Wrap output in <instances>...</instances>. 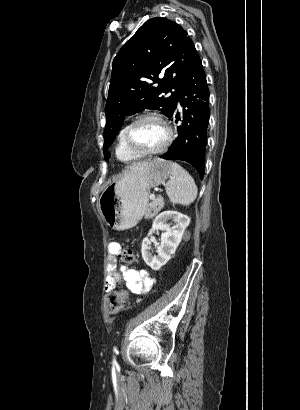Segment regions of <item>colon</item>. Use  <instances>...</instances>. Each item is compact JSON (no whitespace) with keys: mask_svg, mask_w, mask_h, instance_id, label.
Here are the masks:
<instances>
[{"mask_svg":"<svg viewBox=\"0 0 300 410\" xmlns=\"http://www.w3.org/2000/svg\"><path fill=\"white\" fill-rule=\"evenodd\" d=\"M118 259L122 263H131L135 260V253L130 247H123L119 254ZM128 299V292L124 290H118L109 292L104 300V308L107 313L115 314L119 312L125 305Z\"/></svg>","mask_w":300,"mask_h":410,"instance_id":"colon-1","label":"colon"}]
</instances>
